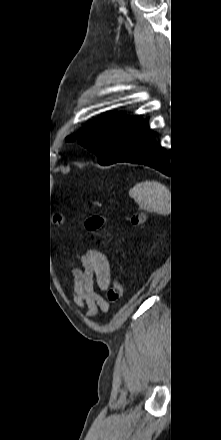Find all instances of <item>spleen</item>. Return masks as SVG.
I'll use <instances>...</instances> for the list:
<instances>
[{
	"mask_svg": "<svg viewBox=\"0 0 221 440\" xmlns=\"http://www.w3.org/2000/svg\"><path fill=\"white\" fill-rule=\"evenodd\" d=\"M129 196L144 211L158 214L170 211V190L158 181L137 183L130 189Z\"/></svg>",
	"mask_w": 221,
	"mask_h": 440,
	"instance_id": "1",
	"label": "spleen"
}]
</instances>
